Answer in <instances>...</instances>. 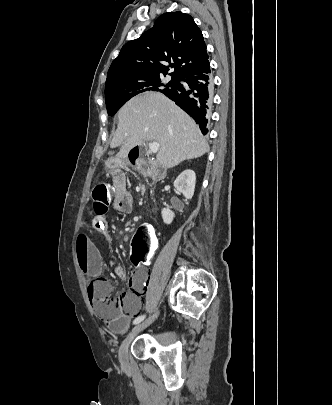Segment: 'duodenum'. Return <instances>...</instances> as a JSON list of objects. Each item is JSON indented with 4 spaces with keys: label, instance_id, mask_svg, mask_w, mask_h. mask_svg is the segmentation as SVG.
<instances>
[{
    "label": "duodenum",
    "instance_id": "410a0bca",
    "mask_svg": "<svg viewBox=\"0 0 332 405\" xmlns=\"http://www.w3.org/2000/svg\"><path fill=\"white\" fill-rule=\"evenodd\" d=\"M141 158V154L137 150H131L128 154V160L131 164L137 163ZM151 176L153 180L155 181H160L164 178V175L162 172H160L157 168H151Z\"/></svg>",
    "mask_w": 332,
    "mask_h": 405
}]
</instances>
